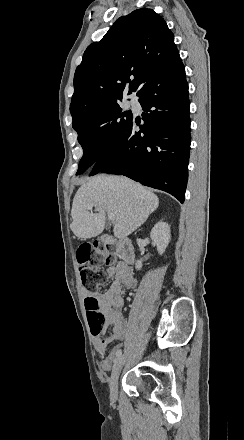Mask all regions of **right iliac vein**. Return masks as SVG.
Masks as SVG:
<instances>
[{"label": "right iliac vein", "mask_w": 244, "mask_h": 440, "mask_svg": "<svg viewBox=\"0 0 244 440\" xmlns=\"http://www.w3.org/2000/svg\"><path fill=\"white\" fill-rule=\"evenodd\" d=\"M126 357L125 356H119L113 365V370L111 373V377L109 380V386H110V394L112 398L117 397V388H118V378L121 372V369L125 363Z\"/></svg>", "instance_id": "obj_1"}]
</instances>
